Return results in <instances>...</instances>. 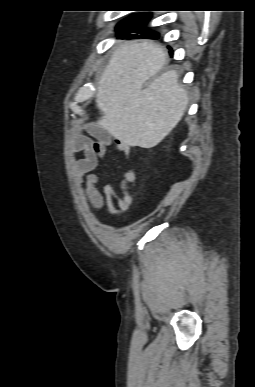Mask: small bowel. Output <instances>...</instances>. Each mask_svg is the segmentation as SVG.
<instances>
[{
    "mask_svg": "<svg viewBox=\"0 0 255 387\" xmlns=\"http://www.w3.org/2000/svg\"><path fill=\"white\" fill-rule=\"evenodd\" d=\"M113 145L126 158L130 157L129 145L121 140L114 142L107 131L101 127L88 124H77L74 127L72 152L83 154L74 164V175L78 185L84 187L85 195L94 209H101L106 204L110 213L123 215L132 204L128 188L136 181V173L133 170H127L123 174L120 182V194L110 184L105 185L101 193L97 188L101 178L93 173L99 161L105 157Z\"/></svg>",
    "mask_w": 255,
    "mask_h": 387,
    "instance_id": "1",
    "label": "small bowel"
}]
</instances>
